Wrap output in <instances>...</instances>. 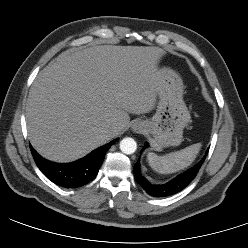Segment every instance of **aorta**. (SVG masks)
Listing matches in <instances>:
<instances>
[{
  "instance_id": "obj_1",
  "label": "aorta",
  "mask_w": 248,
  "mask_h": 248,
  "mask_svg": "<svg viewBox=\"0 0 248 248\" xmlns=\"http://www.w3.org/2000/svg\"><path fill=\"white\" fill-rule=\"evenodd\" d=\"M137 149V143L133 138L127 137L120 141V150L124 154H133Z\"/></svg>"
}]
</instances>
